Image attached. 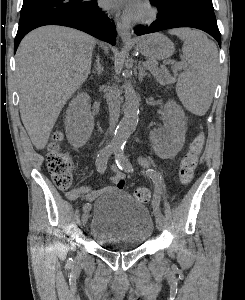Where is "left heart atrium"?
Masks as SVG:
<instances>
[{"label": "left heart atrium", "instance_id": "39dd6f15", "mask_svg": "<svg viewBox=\"0 0 245 300\" xmlns=\"http://www.w3.org/2000/svg\"><path fill=\"white\" fill-rule=\"evenodd\" d=\"M101 5L107 9H123L129 17L135 13L141 5V0H100Z\"/></svg>", "mask_w": 245, "mask_h": 300}]
</instances>
